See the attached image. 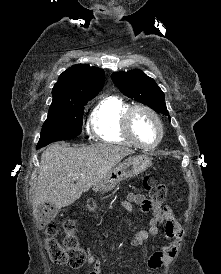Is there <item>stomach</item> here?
<instances>
[{
	"label": "stomach",
	"instance_id": "1",
	"mask_svg": "<svg viewBox=\"0 0 221 274\" xmlns=\"http://www.w3.org/2000/svg\"><path fill=\"white\" fill-rule=\"evenodd\" d=\"M152 163L148 155L130 156L115 166L98 184L95 190L106 193L113 190L121 181L142 173Z\"/></svg>",
	"mask_w": 221,
	"mask_h": 274
}]
</instances>
